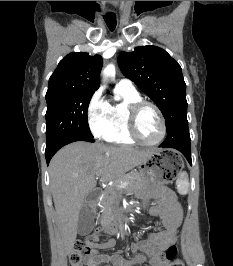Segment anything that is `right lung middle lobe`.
Returning <instances> with one entry per match:
<instances>
[{"label":"right lung middle lobe","mask_w":233,"mask_h":266,"mask_svg":"<svg viewBox=\"0 0 233 266\" xmlns=\"http://www.w3.org/2000/svg\"><path fill=\"white\" fill-rule=\"evenodd\" d=\"M93 93H73L46 98V149L76 136L93 135L87 110Z\"/></svg>","instance_id":"dd1d6c3e"}]
</instances>
